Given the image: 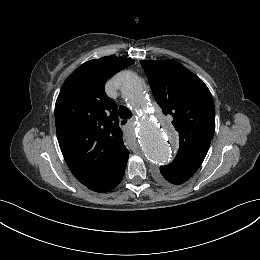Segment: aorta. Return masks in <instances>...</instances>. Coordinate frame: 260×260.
Wrapping results in <instances>:
<instances>
[{"label":"aorta","instance_id":"obj_1","mask_svg":"<svg viewBox=\"0 0 260 260\" xmlns=\"http://www.w3.org/2000/svg\"><path fill=\"white\" fill-rule=\"evenodd\" d=\"M120 90L139 115L137 137L146 158L157 166L168 163L177 143L176 134L169 124L146 112L148 98L143 81L136 74L126 72L121 77Z\"/></svg>","mask_w":260,"mask_h":260}]
</instances>
